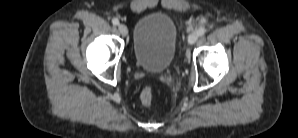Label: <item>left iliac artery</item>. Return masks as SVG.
<instances>
[{
	"label": "left iliac artery",
	"instance_id": "44dca946",
	"mask_svg": "<svg viewBox=\"0 0 298 138\" xmlns=\"http://www.w3.org/2000/svg\"><path fill=\"white\" fill-rule=\"evenodd\" d=\"M197 32H198L199 36H202L205 34L206 29L204 27H201V28H199V30Z\"/></svg>",
	"mask_w": 298,
	"mask_h": 138
}]
</instances>
